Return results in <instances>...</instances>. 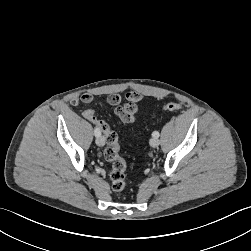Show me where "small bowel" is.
Returning a JSON list of instances; mask_svg holds the SVG:
<instances>
[{
	"instance_id": "obj_1",
	"label": "small bowel",
	"mask_w": 251,
	"mask_h": 251,
	"mask_svg": "<svg viewBox=\"0 0 251 251\" xmlns=\"http://www.w3.org/2000/svg\"><path fill=\"white\" fill-rule=\"evenodd\" d=\"M90 94H83L79 99L72 101L73 106L78 103H89L92 101ZM142 100V95L136 91L127 92L125 95V103L122 104V97L118 93H112L107 98L108 105L114 107V113L124 123H132L138 116V103ZM80 108V105H77Z\"/></svg>"
}]
</instances>
